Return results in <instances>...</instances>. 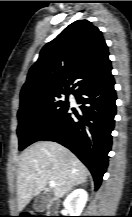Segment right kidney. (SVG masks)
<instances>
[{
  "label": "right kidney",
  "instance_id": "obj_1",
  "mask_svg": "<svg viewBox=\"0 0 132 217\" xmlns=\"http://www.w3.org/2000/svg\"><path fill=\"white\" fill-rule=\"evenodd\" d=\"M87 199L88 194L84 189H76L66 198L64 207L70 216H80Z\"/></svg>",
  "mask_w": 132,
  "mask_h": 217
}]
</instances>
